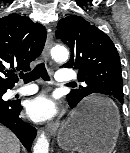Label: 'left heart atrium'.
<instances>
[{
	"mask_svg": "<svg viewBox=\"0 0 130 153\" xmlns=\"http://www.w3.org/2000/svg\"><path fill=\"white\" fill-rule=\"evenodd\" d=\"M58 111L56 101L48 94H41L29 101L27 112L36 121L48 120Z\"/></svg>",
	"mask_w": 130,
	"mask_h": 153,
	"instance_id": "39dd6f15",
	"label": "left heart atrium"
}]
</instances>
